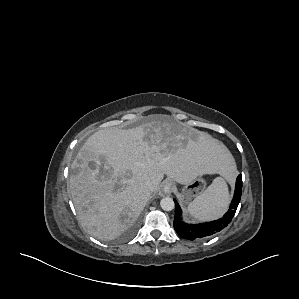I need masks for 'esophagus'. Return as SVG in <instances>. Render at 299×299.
Listing matches in <instances>:
<instances>
[{"label":"esophagus","instance_id":"esophagus-1","mask_svg":"<svg viewBox=\"0 0 299 299\" xmlns=\"http://www.w3.org/2000/svg\"><path fill=\"white\" fill-rule=\"evenodd\" d=\"M173 184L171 181H165L162 186V192L164 194H169L172 191Z\"/></svg>","mask_w":299,"mask_h":299}]
</instances>
